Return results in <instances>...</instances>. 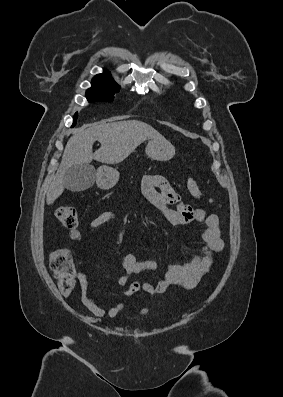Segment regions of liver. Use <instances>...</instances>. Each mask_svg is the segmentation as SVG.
I'll list each match as a JSON object with an SVG mask.
<instances>
[{"label":"liver","mask_w":283,"mask_h":397,"mask_svg":"<svg viewBox=\"0 0 283 397\" xmlns=\"http://www.w3.org/2000/svg\"><path fill=\"white\" fill-rule=\"evenodd\" d=\"M147 139L164 138L152 126L138 120L117 121L79 129L66 144L60 166L47 192L46 203L53 204L63 193V177L71 166L89 164L93 160L118 164ZM96 140L101 143V147L93 153L92 147Z\"/></svg>","instance_id":"6515ba94"}]
</instances>
